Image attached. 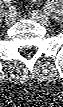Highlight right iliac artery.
Masks as SVG:
<instances>
[{"instance_id":"82829eb1","label":"right iliac artery","mask_w":63,"mask_h":107,"mask_svg":"<svg viewBox=\"0 0 63 107\" xmlns=\"http://www.w3.org/2000/svg\"><path fill=\"white\" fill-rule=\"evenodd\" d=\"M5 5L9 8V10L11 11L13 6H11V1L10 0H4Z\"/></svg>"}]
</instances>
